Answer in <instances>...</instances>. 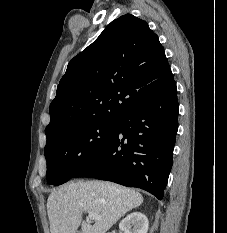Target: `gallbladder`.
<instances>
[{
  "mask_svg": "<svg viewBox=\"0 0 227 233\" xmlns=\"http://www.w3.org/2000/svg\"><path fill=\"white\" fill-rule=\"evenodd\" d=\"M75 233H80L79 231H76Z\"/></svg>",
  "mask_w": 227,
  "mask_h": 233,
  "instance_id": "1",
  "label": "gallbladder"
}]
</instances>
